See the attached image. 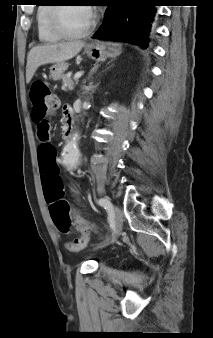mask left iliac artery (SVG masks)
Wrapping results in <instances>:
<instances>
[{"label": "left iliac artery", "instance_id": "1", "mask_svg": "<svg viewBox=\"0 0 213 338\" xmlns=\"http://www.w3.org/2000/svg\"><path fill=\"white\" fill-rule=\"evenodd\" d=\"M97 203L107 210L108 215H109V220H113L114 214H113V207H112L111 202L107 198H100L97 200Z\"/></svg>", "mask_w": 213, "mask_h": 338}]
</instances>
